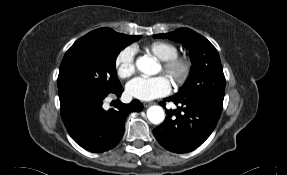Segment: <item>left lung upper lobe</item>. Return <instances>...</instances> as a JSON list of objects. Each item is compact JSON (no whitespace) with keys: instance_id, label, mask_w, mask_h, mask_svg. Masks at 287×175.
Returning <instances> with one entry per match:
<instances>
[{"instance_id":"5c2ea615","label":"left lung upper lobe","mask_w":287,"mask_h":175,"mask_svg":"<svg viewBox=\"0 0 287 175\" xmlns=\"http://www.w3.org/2000/svg\"><path fill=\"white\" fill-rule=\"evenodd\" d=\"M154 37L179 41L190 50L193 64L190 76L183 88L174 96L202 99L222 108L225 77L215 47L206 38L188 28H179Z\"/></svg>"}]
</instances>
